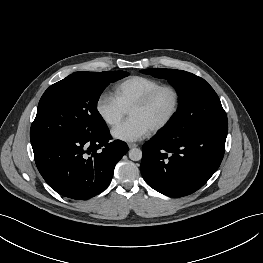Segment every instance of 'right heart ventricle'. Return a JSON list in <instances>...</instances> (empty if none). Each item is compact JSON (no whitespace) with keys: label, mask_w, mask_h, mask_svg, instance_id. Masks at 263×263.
Listing matches in <instances>:
<instances>
[{"label":"right heart ventricle","mask_w":263,"mask_h":263,"mask_svg":"<svg viewBox=\"0 0 263 263\" xmlns=\"http://www.w3.org/2000/svg\"><path fill=\"white\" fill-rule=\"evenodd\" d=\"M160 84L161 82L154 78L131 76L116 84L113 89V96L124 109H129L134 103Z\"/></svg>","instance_id":"e07e8e85"}]
</instances>
